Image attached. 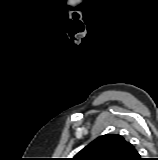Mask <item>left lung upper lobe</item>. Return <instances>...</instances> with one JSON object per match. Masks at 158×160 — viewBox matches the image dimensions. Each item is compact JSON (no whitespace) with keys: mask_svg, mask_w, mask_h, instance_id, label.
<instances>
[{"mask_svg":"<svg viewBox=\"0 0 158 160\" xmlns=\"http://www.w3.org/2000/svg\"><path fill=\"white\" fill-rule=\"evenodd\" d=\"M136 150L120 135H103L89 143L72 160H132Z\"/></svg>","mask_w":158,"mask_h":160,"instance_id":"1","label":"left lung upper lobe"}]
</instances>
